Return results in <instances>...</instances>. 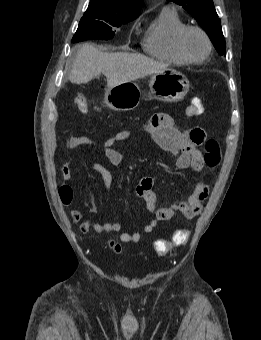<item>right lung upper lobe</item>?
Masks as SVG:
<instances>
[{"mask_svg": "<svg viewBox=\"0 0 261 340\" xmlns=\"http://www.w3.org/2000/svg\"><path fill=\"white\" fill-rule=\"evenodd\" d=\"M142 0H91L89 9H98L122 17H138Z\"/></svg>", "mask_w": 261, "mask_h": 340, "instance_id": "right-lung-upper-lobe-1", "label": "right lung upper lobe"}]
</instances>
